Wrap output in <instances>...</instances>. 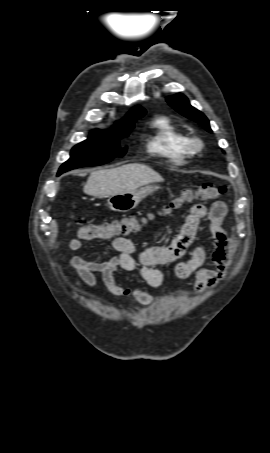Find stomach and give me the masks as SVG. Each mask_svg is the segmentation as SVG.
Masks as SVG:
<instances>
[{
	"instance_id": "obj_1",
	"label": "stomach",
	"mask_w": 270,
	"mask_h": 453,
	"mask_svg": "<svg viewBox=\"0 0 270 453\" xmlns=\"http://www.w3.org/2000/svg\"><path fill=\"white\" fill-rule=\"evenodd\" d=\"M157 189V187H146L124 194L112 195L109 196L107 204L113 211L128 212L134 209L144 198Z\"/></svg>"
}]
</instances>
